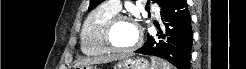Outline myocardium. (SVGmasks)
Returning a JSON list of instances; mask_svg holds the SVG:
<instances>
[{"mask_svg":"<svg viewBox=\"0 0 246 69\" xmlns=\"http://www.w3.org/2000/svg\"><path fill=\"white\" fill-rule=\"evenodd\" d=\"M121 21H131L135 24V26L137 28V33H138L137 40L132 46L127 47V48L116 47L111 41L112 33H113L116 25ZM142 41H143V35H142L141 30H140V27L130 16H128L126 14L117 13L116 15H114L113 17H111L108 20V22L105 26V29H104V43L110 51H112L114 53H123V52H128V51H134L140 47V45L142 44Z\"/></svg>","mask_w":246,"mask_h":69,"instance_id":"f54148a6","label":"myocardium"}]
</instances>
